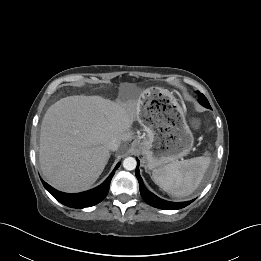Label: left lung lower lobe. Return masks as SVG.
Masks as SVG:
<instances>
[{
	"mask_svg": "<svg viewBox=\"0 0 261 261\" xmlns=\"http://www.w3.org/2000/svg\"><path fill=\"white\" fill-rule=\"evenodd\" d=\"M137 163L138 164H137V168H136V177H137L138 182H139V189H140L141 196L146 203H148L149 205H151L155 208H160V209H165V210H177V209L184 208L187 205H189L191 202H193V200L187 201V202H178V203L169 202V201H165L163 199H160L159 197H157L156 195L151 193L144 186L143 180H142L140 173H139V161L138 160H137Z\"/></svg>",
	"mask_w": 261,
	"mask_h": 261,
	"instance_id": "left-lung-lower-lobe-1",
	"label": "left lung lower lobe"
}]
</instances>
